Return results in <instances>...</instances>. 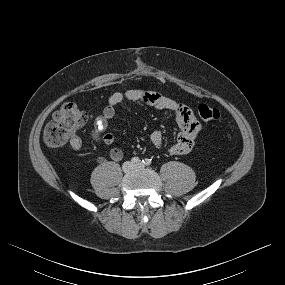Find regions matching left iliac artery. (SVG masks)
<instances>
[{
    "instance_id": "obj_1",
    "label": "left iliac artery",
    "mask_w": 285,
    "mask_h": 285,
    "mask_svg": "<svg viewBox=\"0 0 285 285\" xmlns=\"http://www.w3.org/2000/svg\"><path fill=\"white\" fill-rule=\"evenodd\" d=\"M142 162L145 164V165H151V163H152V159H148V158H146V159H144V160H142Z\"/></svg>"
}]
</instances>
